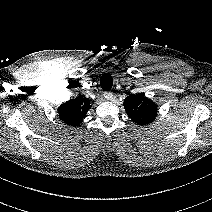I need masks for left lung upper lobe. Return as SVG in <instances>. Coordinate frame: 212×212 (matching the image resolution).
I'll list each match as a JSON object with an SVG mask.
<instances>
[{"label": "left lung upper lobe", "mask_w": 212, "mask_h": 212, "mask_svg": "<svg viewBox=\"0 0 212 212\" xmlns=\"http://www.w3.org/2000/svg\"><path fill=\"white\" fill-rule=\"evenodd\" d=\"M124 108L131 120L142 126L152 123L157 115V105L144 95H129Z\"/></svg>", "instance_id": "obj_1"}]
</instances>
